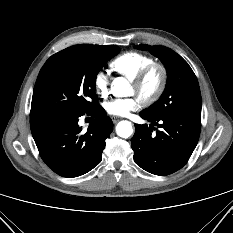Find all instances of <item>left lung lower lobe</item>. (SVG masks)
Listing matches in <instances>:
<instances>
[{
  "label": "left lung lower lobe",
  "mask_w": 233,
  "mask_h": 233,
  "mask_svg": "<svg viewBox=\"0 0 233 233\" xmlns=\"http://www.w3.org/2000/svg\"><path fill=\"white\" fill-rule=\"evenodd\" d=\"M140 116L158 125L135 124L131 139L134 161L142 169L155 175L166 176L181 169L194 151L201 130V114L179 112L152 119L142 112Z\"/></svg>",
  "instance_id": "left-lung-lower-lobe-1"
}]
</instances>
